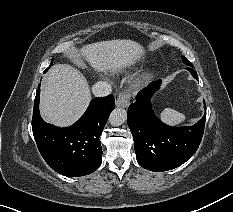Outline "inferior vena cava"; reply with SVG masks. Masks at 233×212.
<instances>
[{
	"mask_svg": "<svg viewBox=\"0 0 233 212\" xmlns=\"http://www.w3.org/2000/svg\"><path fill=\"white\" fill-rule=\"evenodd\" d=\"M92 92L96 97H104L111 94V85L108 82L100 81L93 85Z\"/></svg>",
	"mask_w": 233,
	"mask_h": 212,
	"instance_id": "1",
	"label": "inferior vena cava"
}]
</instances>
